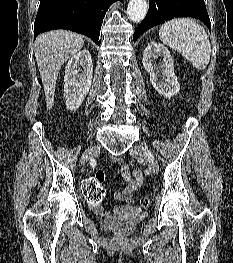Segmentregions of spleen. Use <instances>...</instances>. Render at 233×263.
I'll return each instance as SVG.
<instances>
[{
	"mask_svg": "<svg viewBox=\"0 0 233 263\" xmlns=\"http://www.w3.org/2000/svg\"><path fill=\"white\" fill-rule=\"evenodd\" d=\"M163 44L178 51L198 70L210 61L211 45L205 29L195 20L177 18L164 23L159 30Z\"/></svg>",
	"mask_w": 233,
	"mask_h": 263,
	"instance_id": "1",
	"label": "spleen"
}]
</instances>
